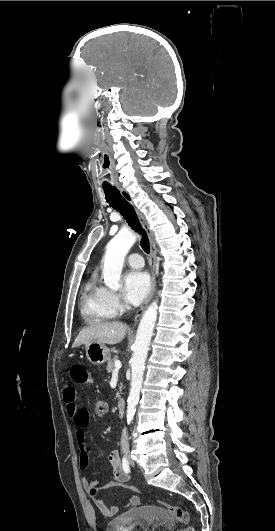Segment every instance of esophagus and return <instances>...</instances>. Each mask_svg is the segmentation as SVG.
<instances>
[{
  "mask_svg": "<svg viewBox=\"0 0 275 531\" xmlns=\"http://www.w3.org/2000/svg\"><path fill=\"white\" fill-rule=\"evenodd\" d=\"M118 187L120 189V192H121L122 196L126 200L131 201L130 195L127 193V191H125L119 185H118ZM137 214H138L139 220H140L144 230L147 233V236L149 238V243H150V251H151V255H150L151 280H150V282H151V289H150L149 295L147 296L146 300L142 304L141 308L137 311V313L135 315V318H134V323H138V321L141 318V315L143 314V311L145 310V308L147 307L149 301L152 298L153 291H154V286H155V270H156V244H155V241H154L153 232L150 229L149 224L146 221V219L144 218V216L140 212H137Z\"/></svg>",
  "mask_w": 275,
  "mask_h": 531,
  "instance_id": "34e87169",
  "label": "esophagus"
}]
</instances>
